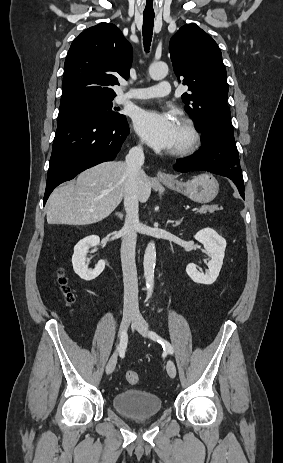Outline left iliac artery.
<instances>
[{
	"mask_svg": "<svg viewBox=\"0 0 283 463\" xmlns=\"http://www.w3.org/2000/svg\"><path fill=\"white\" fill-rule=\"evenodd\" d=\"M149 337L152 340L157 341L158 343H160L162 345L163 349L165 351H167L169 354H173L174 350H173V347L171 346V344L169 342H167L166 340L162 339L156 332L150 331L149 332Z\"/></svg>",
	"mask_w": 283,
	"mask_h": 463,
	"instance_id": "obj_1",
	"label": "left iliac artery"
}]
</instances>
